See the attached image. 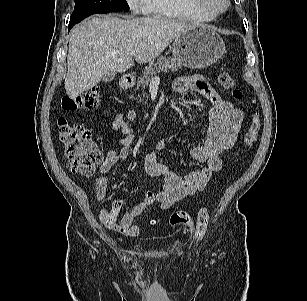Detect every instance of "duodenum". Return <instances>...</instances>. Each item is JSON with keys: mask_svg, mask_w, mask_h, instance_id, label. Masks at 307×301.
<instances>
[{"mask_svg": "<svg viewBox=\"0 0 307 301\" xmlns=\"http://www.w3.org/2000/svg\"><path fill=\"white\" fill-rule=\"evenodd\" d=\"M134 82H135V78L133 76L126 77L124 80V87L126 89H130L133 87Z\"/></svg>", "mask_w": 307, "mask_h": 301, "instance_id": "obj_1", "label": "duodenum"}]
</instances>
